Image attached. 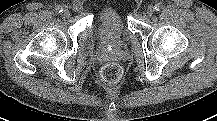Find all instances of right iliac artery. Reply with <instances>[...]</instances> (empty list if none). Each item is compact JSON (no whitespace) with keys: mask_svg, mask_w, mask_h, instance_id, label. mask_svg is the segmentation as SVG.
<instances>
[{"mask_svg":"<svg viewBox=\"0 0 217 121\" xmlns=\"http://www.w3.org/2000/svg\"><path fill=\"white\" fill-rule=\"evenodd\" d=\"M55 10H56L57 13H61L63 11V7L61 5H57L55 7Z\"/></svg>","mask_w":217,"mask_h":121,"instance_id":"right-iliac-artery-1","label":"right iliac artery"}]
</instances>
